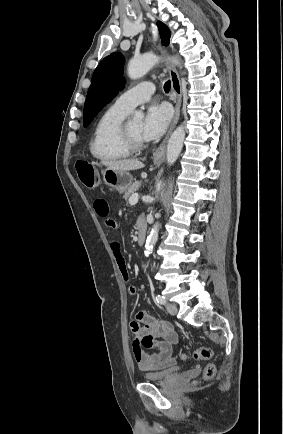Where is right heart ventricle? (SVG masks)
Instances as JSON below:
<instances>
[{
  "label": "right heart ventricle",
  "instance_id": "right-heart-ventricle-1",
  "mask_svg": "<svg viewBox=\"0 0 283 434\" xmlns=\"http://www.w3.org/2000/svg\"><path fill=\"white\" fill-rule=\"evenodd\" d=\"M129 111L109 107L98 119L89 149L94 158L103 162H112L128 158L131 150L122 136V126Z\"/></svg>",
  "mask_w": 283,
  "mask_h": 434
}]
</instances>
